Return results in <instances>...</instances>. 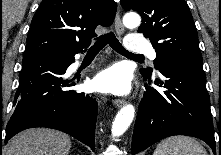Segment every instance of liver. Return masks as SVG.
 <instances>
[{
	"label": "liver",
	"mask_w": 221,
	"mask_h": 155,
	"mask_svg": "<svg viewBox=\"0 0 221 155\" xmlns=\"http://www.w3.org/2000/svg\"><path fill=\"white\" fill-rule=\"evenodd\" d=\"M70 137L60 131L33 128L14 136L5 150V155H68Z\"/></svg>",
	"instance_id": "obj_1"
}]
</instances>
